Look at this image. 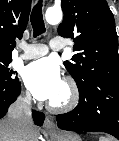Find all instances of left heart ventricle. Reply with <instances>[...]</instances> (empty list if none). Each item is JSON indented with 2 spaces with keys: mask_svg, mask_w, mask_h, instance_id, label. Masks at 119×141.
Wrapping results in <instances>:
<instances>
[{
  "mask_svg": "<svg viewBox=\"0 0 119 141\" xmlns=\"http://www.w3.org/2000/svg\"><path fill=\"white\" fill-rule=\"evenodd\" d=\"M67 96V91L64 87V85L62 84L59 92L57 93V95L51 100V102H54V103H59V102H62L65 100Z\"/></svg>",
  "mask_w": 119,
  "mask_h": 141,
  "instance_id": "obj_1",
  "label": "left heart ventricle"
}]
</instances>
